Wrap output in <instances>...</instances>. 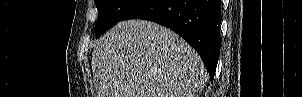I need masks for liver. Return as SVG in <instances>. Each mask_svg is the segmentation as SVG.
I'll return each instance as SVG.
<instances>
[{
  "instance_id": "6515ba94",
  "label": "liver",
  "mask_w": 302,
  "mask_h": 97,
  "mask_svg": "<svg viewBox=\"0 0 302 97\" xmlns=\"http://www.w3.org/2000/svg\"><path fill=\"white\" fill-rule=\"evenodd\" d=\"M96 97H198L207 80L203 61L179 35L156 23L127 20L92 53Z\"/></svg>"
}]
</instances>
